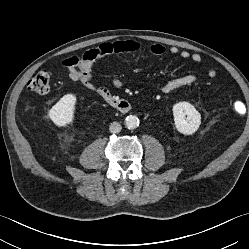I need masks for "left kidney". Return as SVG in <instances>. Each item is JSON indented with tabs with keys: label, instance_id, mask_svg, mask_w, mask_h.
Masks as SVG:
<instances>
[{
	"label": "left kidney",
	"instance_id": "1",
	"mask_svg": "<svg viewBox=\"0 0 249 249\" xmlns=\"http://www.w3.org/2000/svg\"><path fill=\"white\" fill-rule=\"evenodd\" d=\"M172 111L175 127L180 133L192 135L198 130L201 124V115L192 104L185 101L176 103Z\"/></svg>",
	"mask_w": 249,
	"mask_h": 249
}]
</instances>
